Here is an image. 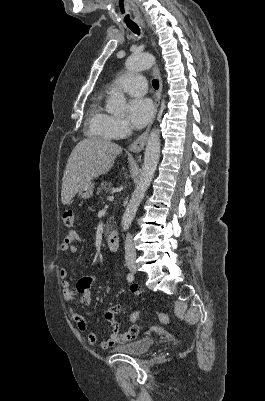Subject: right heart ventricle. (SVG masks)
Here are the masks:
<instances>
[{
	"label": "right heart ventricle",
	"mask_w": 265,
	"mask_h": 401,
	"mask_svg": "<svg viewBox=\"0 0 265 401\" xmlns=\"http://www.w3.org/2000/svg\"><path fill=\"white\" fill-rule=\"evenodd\" d=\"M106 94L107 92H96L89 98L87 109L88 130L94 137L110 142L120 138L116 137L111 129L113 119L107 109Z\"/></svg>",
	"instance_id": "right-heart-ventricle-1"
}]
</instances>
